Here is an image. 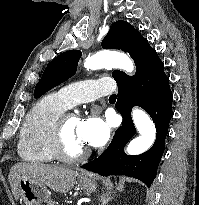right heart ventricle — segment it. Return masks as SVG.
Returning <instances> with one entry per match:
<instances>
[{
    "instance_id": "e07e8e85",
    "label": "right heart ventricle",
    "mask_w": 199,
    "mask_h": 205,
    "mask_svg": "<svg viewBox=\"0 0 199 205\" xmlns=\"http://www.w3.org/2000/svg\"><path fill=\"white\" fill-rule=\"evenodd\" d=\"M68 108L59 93L48 94L33 106L24 120L18 143V153L23 160L35 164L54 162L48 147L50 133Z\"/></svg>"
}]
</instances>
